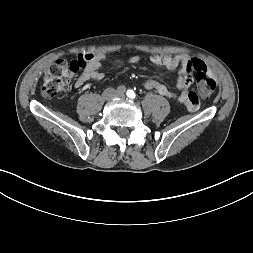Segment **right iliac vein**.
<instances>
[{
  "label": "right iliac vein",
  "mask_w": 253,
  "mask_h": 253,
  "mask_svg": "<svg viewBox=\"0 0 253 253\" xmlns=\"http://www.w3.org/2000/svg\"><path fill=\"white\" fill-rule=\"evenodd\" d=\"M115 96V92L114 90L112 89H107L105 92H104V98L109 100L111 98H113Z\"/></svg>",
  "instance_id": "63e3f726"
}]
</instances>
